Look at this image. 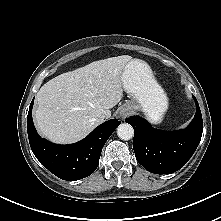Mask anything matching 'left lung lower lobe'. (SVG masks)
Instances as JSON below:
<instances>
[{"mask_svg": "<svg viewBox=\"0 0 221 221\" xmlns=\"http://www.w3.org/2000/svg\"><path fill=\"white\" fill-rule=\"evenodd\" d=\"M194 99L196 114L186 129L161 131L139 116L125 120L134 128L136 159L147 171L155 174L173 173L181 169L194 154L203 132L201 111L197 99Z\"/></svg>", "mask_w": 221, "mask_h": 221, "instance_id": "obj_1", "label": "left lung lower lobe"}]
</instances>
